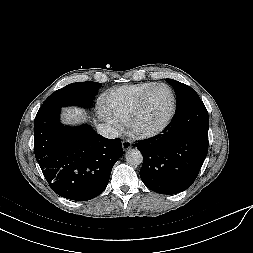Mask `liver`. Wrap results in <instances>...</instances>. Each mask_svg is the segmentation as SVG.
Instances as JSON below:
<instances>
[{"instance_id":"6515ba94","label":"liver","mask_w":253,"mask_h":253,"mask_svg":"<svg viewBox=\"0 0 253 253\" xmlns=\"http://www.w3.org/2000/svg\"><path fill=\"white\" fill-rule=\"evenodd\" d=\"M83 110L77 107H71L64 109L62 113L63 122L70 124V123H77L81 121V115Z\"/></svg>"}]
</instances>
